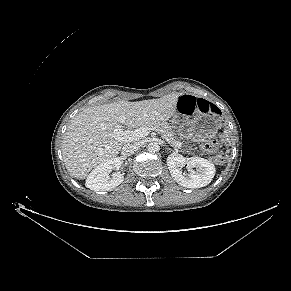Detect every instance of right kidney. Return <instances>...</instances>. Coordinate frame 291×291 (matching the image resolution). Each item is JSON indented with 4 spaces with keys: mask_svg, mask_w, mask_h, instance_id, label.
Masks as SVG:
<instances>
[{
    "mask_svg": "<svg viewBox=\"0 0 291 291\" xmlns=\"http://www.w3.org/2000/svg\"><path fill=\"white\" fill-rule=\"evenodd\" d=\"M122 164L121 158L113 157L96 166L87 177L86 187L94 191H108L117 187L124 181L123 175L115 173L110 177L109 173L121 168Z\"/></svg>",
    "mask_w": 291,
    "mask_h": 291,
    "instance_id": "right-kidney-1",
    "label": "right kidney"
}]
</instances>
